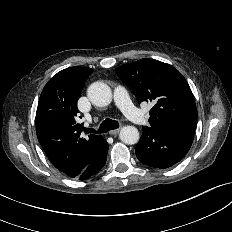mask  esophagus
<instances>
[{
  "mask_svg": "<svg viewBox=\"0 0 232 232\" xmlns=\"http://www.w3.org/2000/svg\"><path fill=\"white\" fill-rule=\"evenodd\" d=\"M120 130H121V127L117 128V129H114V130H111V131H110V134H111V135H115V134L119 133Z\"/></svg>",
  "mask_w": 232,
  "mask_h": 232,
  "instance_id": "1",
  "label": "esophagus"
}]
</instances>
